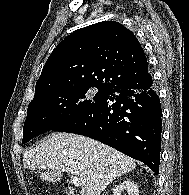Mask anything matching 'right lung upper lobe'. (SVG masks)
Here are the masks:
<instances>
[{"instance_id": "right-lung-upper-lobe-1", "label": "right lung upper lobe", "mask_w": 189, "mask_h": 195, "mask_svg": "<svg viewBox=\"0 0 189 195\" xmlns=\"http://www.w3.org/2000/svg\"><path fill=\"white\" fill-rule=\"evenodd\" d=\"M147 66L130 30L115 21L99 22L74 31L56 46L37 81L34 99L76 86L107 89L142 75Z\"/></svg>"}]
</instances>
